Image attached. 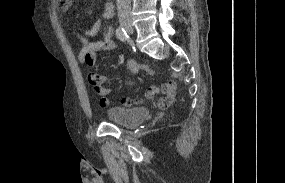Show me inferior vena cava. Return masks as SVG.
Here are the masks:
<instances>
[{"mask_svg": "<svg viewBox=\"0 0 285 183\" xmlns=\"http://www.w3.org/2000/svg\"><path fill=\"white\" fill-rule=\"evenodd\" d=\"M119 18L128 17L131 11V0H116Z\"/></svg>", "mask_w": 285, "mask_h": 183, "instance_id": "1", "label": "inferior vena cava"}]
</instances>
